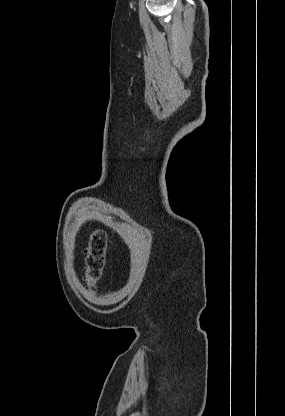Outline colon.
Returning <instances> with one entry per match:
<instances>
[{
	"instance_id": "1",
	"label": "colon",
	"mask_w": 285,
	"mask_h": 416,
	"mask_svg": "<svg viewBox=\"0 0 285 416\" xmlns=\"http://www.w3.org/2000/svg\"><path fill=\"white\" fill-rule=\"evenodd\" d=\"M108 239L101 230L94 231L89 239L85 257V280L94 287L102 278L106 264Z\"/></svg>"
}]
</instances>
